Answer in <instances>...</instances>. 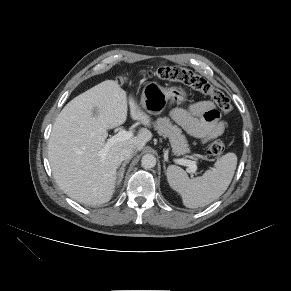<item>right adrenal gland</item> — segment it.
<instances>
[{"label":"right adrenal gland","mask_w":291,"mask_h":291,"mask_svg":"<svg viewBox=\"0 0 291 291\" xmlns=\"http://www.w3.org/2000/svg\"><path fill=\"white\" fill-rule=\"evenodd\" d=\"M129 163V160H126L122 163V166L120 167V169L117 172V184L119 185L122 182V179L124 177V172H125V167L126 165Z\"/></svg>","instance_id":"1"}]
</instances>
